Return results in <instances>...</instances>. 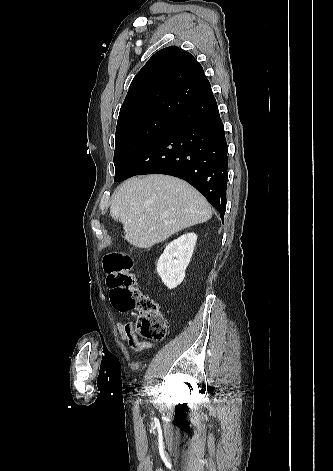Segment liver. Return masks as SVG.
I'll return each mask as SVG.
<instances>
[{"mask_svg":"<svg viewBox=\"0 0 333 471\" xmlns=\"http://www.w3.org/2000/svg\"><path fill=\"white\" fill-rule=\"evenodd\" d=\"M110 215L123 224L127 242L150 248L182 229L208 221L212 209L187 182L152 174L122 183L112 196Z\"/></svg>","mask_w":333,"mask_h":471,"instance_id":"obj_1","label":"liver"}]
</instances>
